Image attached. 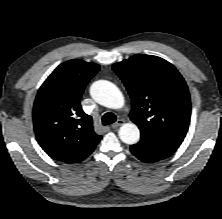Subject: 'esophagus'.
Listing matches in <instances>:
<instances>
[{
  "label": "esophagus",
  "mask_w": 222,
  "mask_h": 219,
  "mask_svg": "<svg viewBox=\"0 0 222 219\" xmlns=\"http://www.w3.org/2000/svg\"><path fill=\"white\" fill-rule=\"evenodd\" d=\"M124 124V120H122V119H119V120H117L114 124H112V128L114 129V128H117V127H119V126H121V125H123Z\"/></svg>",
  "instance_id": "esophagus-1"
}]
</instances>
